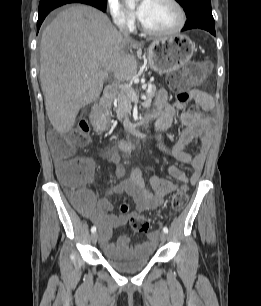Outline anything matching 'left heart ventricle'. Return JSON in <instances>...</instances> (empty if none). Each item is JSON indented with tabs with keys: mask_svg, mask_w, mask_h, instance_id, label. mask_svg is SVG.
I'll use <instances>...</instances> for the list:
<instances>
[{
	"mask_svg": "<svg viewBox=\"0 0 261 306\" xmlns=\"http://www.w3.org/2000/svg\"><path fill=\"white\" fill-rule=\"evenodd\" d=\"M141 2L142 10L139 18L146 26L157 30H167L176 24L177 11L166 0H142Z\"/></svg>",
	"mask_w": 261,
	"mask_h": 306,
	"instance_id": "obj_1",
	"label": "left heart ventricle"
}]
</instances>
